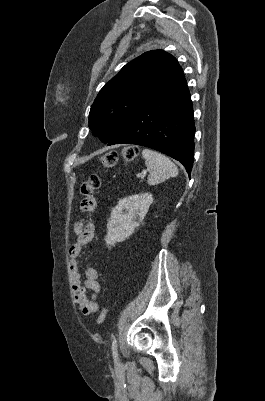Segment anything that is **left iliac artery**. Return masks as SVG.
<instances>
[{
    "label": "left iliac artery",
    "mask_w": 265,
    "mask_h": 401,
    "mask_svg": "<svg viewBox=\"0 0 265 401\" xmlns=\"http://www.w3.org/2000/svg\"><path fill=\"white\" fill-rule=\"evenodd\" d=\"M112 353H113V357L115 359V361L117 360L118 357V352H117V339L116 337H113L112 340Z\"/></svg>",
    "instance_id": "obj_1"
}]
</instances>
